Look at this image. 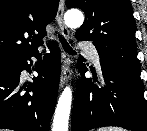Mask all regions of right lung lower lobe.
<instances>
[{
	"instance_id": "98d812e1",
	"label": "right lung lower lobe",
	"mask_w": 147,
	"mask_h": 131,
	"mask_svg": "<svg viewBox=\"0 0 147 131\" xmlns=\"http://www.w3.org/2000/svg\"><path fill=\"white\" fill-rule=\"evenodd\" d=\"M51 53L46 54L36 66L37 77L33 83H20V74L30 72L33 52L0 67V128L15 131H48L54 112L60 79V52L57 44H51ZM26 89V93H21ZM32 92V94H29Z\"/></svg>"
}]
</instances>
